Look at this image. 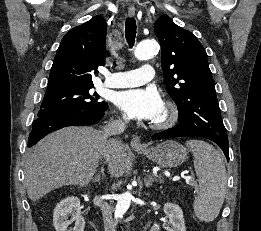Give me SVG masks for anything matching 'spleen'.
I'll return each instance as SVG.
<instances>
[{
	"label": "spleen",
	"instance_id": "spleen-1",
	"mask_svg": "<svg viewBox=\"0 0 261 231\" xmlns=\"http://www.w3.org/2000/svg\"><path fill=\"white\" fill-rule=\"evenodd\" d=\"M186 146L194 155V168L199 179L194 212L201 221H213L220 212L227 188L223 156L202 140H189Z\"/></svg>",
	"mask_w": 261,
	"mask_h": 231
}]
</instances>
